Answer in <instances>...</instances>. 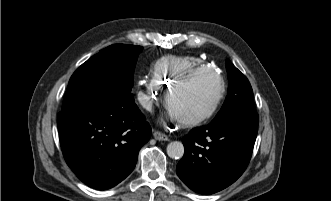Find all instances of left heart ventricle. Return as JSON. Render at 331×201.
Instances as JSON below:
<instances>
[{"instance_id":"left-heart-ventricle-1","label":"left heart ventricle","mask_w":331,"mask_h":201,"mask_svg":"<svg viewBox=\"0 0 331 201\" xmlns=\"http://www.w3.org/2000/svg\"><path fill=\"white\" fill-rule=\"evenodd\" d=\"M219 91V81L212 73H203L188 86L176 90L171 109L179 117H191L206 109Z\"/></svg>"}]
</instances>
